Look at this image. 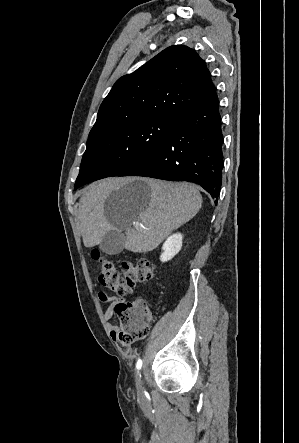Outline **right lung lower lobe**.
<instances>
[{
	"label": "right lung lower lobe",
	"mask_w": 299,
	"mask_h": 443,
	"mask_svg": "<svg viewBox=\"0 0 299 443\" xmlns=\"http://www.w3.org/2000/svg\"><path fill=\"white\" fill-rule=\"evenodd\" d=\"M171 135L146 158L118 176H144L201 185L215 203L222 180L223 154L216 90L175 117Z\"/></svg>",
	"instance_id": "1"
}]
</instances>
